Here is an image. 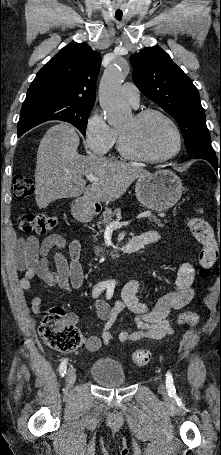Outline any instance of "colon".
Masks as SVG:
<instances>
[{"label": "colon", "instance_id": "5ec220e1", "mask_svg": "<svg viewBox=\"0 0 221 455\" xmlns=\"http://www.w3.org/2000/svg\"><path fill=\"white\" fill-rule=\"evenodd\" d=\"M34 192L33 181L25 176L14 179L13 196L16 200H22L31 196ZM57 224V218L48 213H24L20 218V229L26 233L35 232L46 234L52 231ZM187 226L201 245L199 252V276L208 279L218 257H221V243L218 244L208 222L200 217H190ZM197 316L194 312L185 311L179 315V321L185 324H194ZM39 333L43 341L52 349L59 352H71L84 343L80 330L66 316L60 308L50 309L44 316ZM150 360L147 350H136L131 355V361L136 366H144Z\"/></svg>", "mask_w": 221, "mask_h": 455}]
</instances>
